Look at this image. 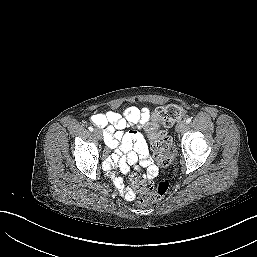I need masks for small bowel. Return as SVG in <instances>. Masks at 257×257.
<instances>
[{"instance_id": "1", "label": "small bowel", "mask_w": 257, "mask_h": 257, "mask_svg": "<svg viewBox=\"0 0 257 257\" xmlns=\"http://www.w3.org/2000/svg\"><path fill=\"white\" fill-rule=\"evenodd\" d=\"M149 119V109L136 106H129L121 113L115 110L95 113L90 118L96 127L102 129L107 146L114 150V153L104 161L103 167L127 200L134 199V194L125 187L123 177L117 175L116 170L126 175L132 166L139 165L146 169L148 178H153L157 173L146 136L136 130L143 127Z\"/></svg>"}]
</instances>
